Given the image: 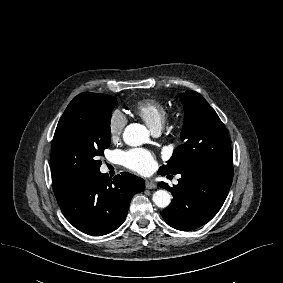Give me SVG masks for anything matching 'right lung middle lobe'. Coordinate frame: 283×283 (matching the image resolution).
Wrapping results in <instances>:
<instances>
[{
    "mask_svg": "<svg viewBox=\"0 0 283 283\" xmlns=\"http://www.w3.org/2000/svg\"><path fill=\"white\" fill-rule=\"evenodd\" d=\"M115 97L79 94L60 118L51 149L53 189L99 171L111 140L110 121Z\"/></svg>",
    "mask_w": 283,
    "mask_h": 283,
    "instance_id": "right-lung-middle-lobe-1",
    "label": "right lung middle lobe"
}]
</instances>
